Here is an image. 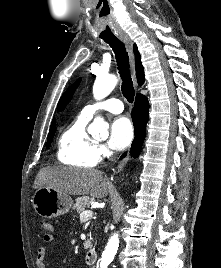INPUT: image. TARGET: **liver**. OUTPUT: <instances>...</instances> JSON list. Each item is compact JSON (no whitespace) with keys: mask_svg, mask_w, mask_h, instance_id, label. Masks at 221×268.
I'll list each match as a JSON object with an SVG mask.
<instances>
[{"mask_svg":"<svg viewBox=\"0 0 221 268\" xmlns=\"http://www.w3.org/2000/svg\"><path fill=\"white\" fill-rule=\"evenodd\" d=\"M41 187L70 195L90 194L95 198H104L114 189L102 171L64 166H48L40 169L33 188Z\"/></svg>","mask_w":221,"mask_h":268,"instance_id":"liver-1","label":"liver"}]
</instances>
